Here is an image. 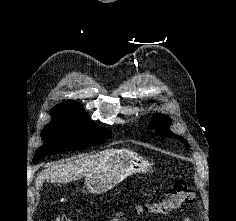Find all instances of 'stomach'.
<instances>
[{"mask_svg": "<svg viewBox=\"0 0 236 221\" xmlns=\"http://www.w3.org/2000/svg\"><path fill=\"white\" fill-rule=\"evenodd\" d=\"M150 167L143 157L127 150H117L85 177L84 187L89 193L102 194L132 174L148 172Z\"/></svg>", "mask_w": 236, "mask_h": 221, "instance_id": "0dacf381", "label": "stomach"}]
</instances>
